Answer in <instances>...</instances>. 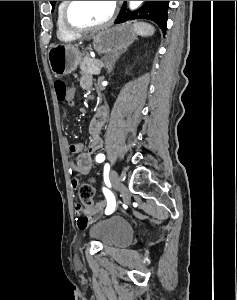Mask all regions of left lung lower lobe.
I'll use <instances>...</instances> for the list:
<instances>
[{
    "mask_svg": "<svg viewBox=\"0 0 237 300\" xmlns=\"http://www.w3.org/2000/svg\"><path fill=\"white\" fill-rule=\"evenodd\" d=\"M165 5L168 6V1H165Z\"/></svg>",
    "mask_w": 237,
    "mask_h": 300,
    "instance_id": "obj_1",
    "label": "left lung lower lobe"
}]
</instances>
